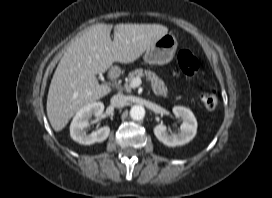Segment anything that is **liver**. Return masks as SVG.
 Masks as SVG:
<instances>
[{"mask_svg":"<svg viewBox=\"0 0 272 198\" xmlns=\"http://www.w3.org/2000/svg\"><path fill=\"white\" fill-rule=\"evenodd\" d=\"M167 33L168 28L160 24L89 27L69 46L51 80L47 116L52 128L61 131L82 107L111 92L109 86L98 83L96 74L104 73L114 62H134Z\"/></svg>","mask_w":272,"mask_h":198,"instance_id":"1","label":"liver"}]
</instances>
